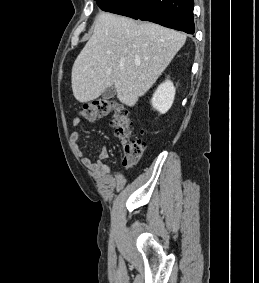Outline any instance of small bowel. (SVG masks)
Returning <instances> with one entry per match:
<instances>
[{"instance_id":"small-bowel-1","label":"small bowel","mask_w":259,"mask_h":283,"mask_svg":"<svg viewBox=\"0 0 259 283\" xmlns=\"http://www.w3.org/2000/svg\"><path fill=\"white\" fill-rule=\"evenodd\" d=\"M81 125V119L79 117H75L72 120V126L74 128H78ZM72 140L76 144L77 151L80 153V148L78 146V141L80 139V133L75 131L72 134ZM87 138L91 139L92 135L88 134ZM109 156V152L105 147H102L99 152V158L96 162L92 161L88 157H81V162L83 165L88 167L91 171L95 172L100 176L101 179H108L111 177V166L104 162V160Z\"/></svg>"}]
</instances>
